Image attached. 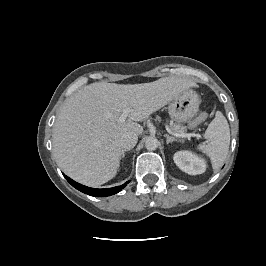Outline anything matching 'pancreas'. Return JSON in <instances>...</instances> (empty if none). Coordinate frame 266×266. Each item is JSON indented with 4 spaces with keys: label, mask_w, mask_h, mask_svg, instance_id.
<instances>
[{
    "label": "pancreas",
    "mask_w": 266,
    "mask_h": 266,
    "mask_svg": "<svg viewBox=\"0 0 266 266\" xmlns=\"http://www.w3.org/2000/svg\"><path fill=\"white\" fill-rule=\"evenodd\" d=\"M171 128H172V130H173L175 133H179V134L184 133V131H185V129H186L185 126H182V125H180V124H173V125L171 126Z\"/></svg>",
    "instance_id": "obj_1"
}]
</instances>
